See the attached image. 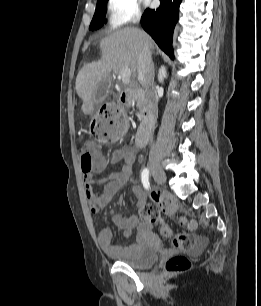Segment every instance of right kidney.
Instances as JSON below:
<instances>
[{
	"instance_id": "ca27d5eb",
	"label": "right kidney",
	"mask_w": 261,
	"mask_h": 306,
	"mask_svg": "<svg viewBox=\"0 0 261 306\" xmlns=\"http://www.w3.org/2000/svg\"><path fill=\"white\" fill-rule=\"evenodd\" d=\"M167 77V72L165 66H161L158 72V80L159 82H163L164 78Z\"/></svg>"
}]
</instances>
